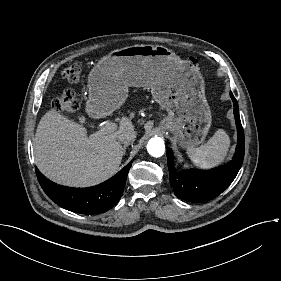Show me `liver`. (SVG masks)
Masks as SVG:
<instances>
[{"instance_id": "1", "label": "liver", "mask_w": 281, "mask_h": 281, "mask_svg": "<svg viewBox=\"0 0 281 281\" xmlns=\"http://www.w3.org/2000/svg\"><path fill=\"white\" fill-rule=\"evenodd\" d=\"M134 130L122 117L119 129L87 136V129L55 112L41 118L34 139L35 163L50 180L70 187L98 185L116 173L123 151L117 135Z\"/></svg>"}]
</instances>
